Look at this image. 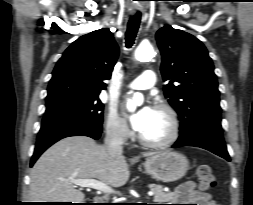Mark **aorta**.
I'll list each match as a JSON object with an SVG mask.
<instances>
[{"mask_svg":"<svg viewBox=\"0 0 253 205\" xmlns=\"http://www.w3.org/2000/svg\"><path fill=\"white\" fill-rule=\"evenodd\" d=\"M155 55L154 48L152 45H139L135 50V58L138 61H150ZM143 102V96L141 94H136L133 100H129L127 108L129 111H134L137 105H141Z\"/></svg>","mask_w":253,"mask_h":205,"instance_id":"aorta-1","label":"aorta"}]
</instances>
